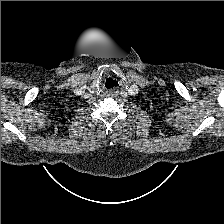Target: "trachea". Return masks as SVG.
I'll list each match as a JSON object with an SVG mask.
<instances>
[{
  "label": "trachea",
  "instance_id": "3493384b",
  "mask_svg": "<svg viewBox=\"0 0 224 224\" xmlns=\"http://www.w3.org/2000/svg\"><path fill=\"white\" fill-rule=\"evenodd\" d=\"M119 86L118 81L109 77L105 80V88L108 90H112L113 88Z\"/></svg>",
  "mask_w": 224,
  "mask_h": 224
}]
</instances>
